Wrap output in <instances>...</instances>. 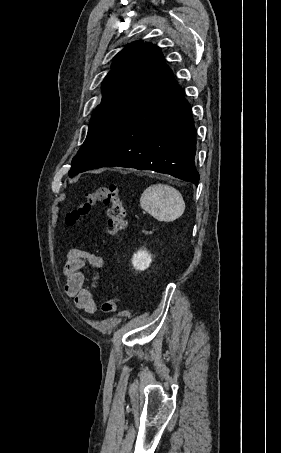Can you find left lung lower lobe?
<instances>
[{
  "mask_svg": "<svg viewBox=\"0 0 281 453\" xmlns=\"http://www.w3.org/2000/svg\"><path fill=\"white\" fill-rule=\"evenodd\" d=\"M191 108L167 65L102 150L70 177L91 169L120 166L153 170L199 182Z\"/></svg>",
  "mask_w": 281,
  "mask_h": 453,
  "instance_id": "1",
  "label": "left lung lower lobe"
}]
</instances>
